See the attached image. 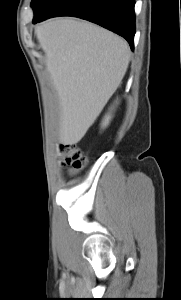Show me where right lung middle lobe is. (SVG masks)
<instances>
[{
  "mask_svg": "<svg viewBox=\"0 0 181 300\" xmlns=\"http://www.w3.org/2000/svg\"><path fill=\"white\" fill-rule=\"evenodd\" d=\"M58 0H32L31 7L34 10L35 17L44 14Z\"/></svg>",
  "mask_w": 181,
  "mask_h": 300,
  "instance_id": "right-lung-middle-lobe-1",
  "label": "right lung middle lobe"
}]
</instances>
